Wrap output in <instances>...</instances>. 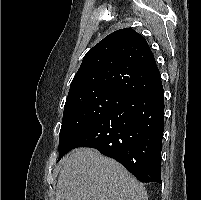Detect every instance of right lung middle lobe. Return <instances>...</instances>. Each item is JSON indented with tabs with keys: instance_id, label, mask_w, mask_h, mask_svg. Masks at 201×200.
I'll return each mask as SVG.
<instances>
[{
	"instance_id": "right-lung-middle-lobe-1",
	"label": "right lung middle lobe",
	"mask_w": 201,
	"mask_h": 200,
	"mask_svg": "<svg viewBox=\"0 0 201 200\" xmlns=\"http://www.w3.org/2000/svg\"><path fill=\"white\" fill-rule=\"evenodd\" d=\"M129 97L109 90L85 91L67 97L59 134V159L66 154L65 147L80 131L103 117Z\"/></svg>"
}]
</instances>
